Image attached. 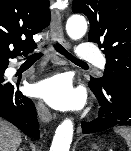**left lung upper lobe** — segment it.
<instances>
[{
	"label": "left lung upper lobe",
	"mask_w": 131,
	"mask_h": 151,
	"mask_svg": "<svg viewBox=\"0 0 131 151\" xmlns=\"http://www.w3.org/2000/svg\"><path fill=\"white\" fill-rule=\"evenodd\" d=\"M72 10L88 17L89 41L106 56L104 76L90 83L131 91V0H73Z\"/></svg>",
	"instance_id": "left-lung-upper-lobe-1"
}]
</instances>
